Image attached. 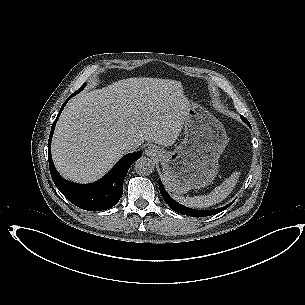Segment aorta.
<instances>
[{
  "mask_svg": "<svg viewBox=\"0 0 305 305\" xmlns=\"http://www.w3.org/2000/svg\"><path fill=\"white\" fill-rule=\"evenodd\" d=\"M134 169L137 174L150 175L154 172L155 164L151 159L141 157L134 163Z\"/></svg>",
  "mask_w": 305,
  "mask_h": 305,
  "instance_id": "obj_1",
  "label": "aorta"
}]
</instances>
